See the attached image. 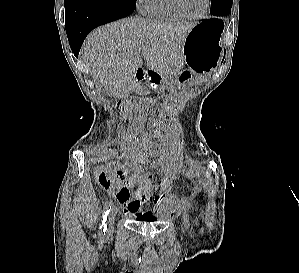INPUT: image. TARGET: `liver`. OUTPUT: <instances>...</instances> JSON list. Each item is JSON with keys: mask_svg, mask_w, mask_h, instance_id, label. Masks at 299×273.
<instances>
[{"mask_svg": "<svg viewBox=\"0 0 299 273\" xmlns=\"http://www.w3.org/2000/svg\"><path fill=\"white\" fill-rule=\"evenodd\" d=\"M196 22H162L126 18L98 27L85 40L81 58L94 82L120 97L136 87L135 73L146 60L162 77L184 67L183 47Z\"/></svg>", "mask_w": 299, "mask_h": 273, "instance_id": "obj_1", "label": "liver"}]
</instances>
